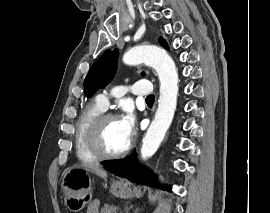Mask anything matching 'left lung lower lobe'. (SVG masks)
Instances as JSON below:
<instances>
[{
  "instance_id": "1",
  "label": "left lung lower lobe",
  "mask_w": 270,
  "mask_h": 213,
  "mask_svg": "<svg viewBox=\"0 0 270 213\" xmlns=\"http://www.w3.org/2000/svg\"><path fill=\"white\" fill-rule=\"evenodd\" d=\"M104 167L113 174L135 183L157 187V178L145 167H141L136 159L135 152L125 159L116 160L111 164L104 165ZM162 189L170 191L168 186H164Z\"/></svg>"
}]
</instances>
